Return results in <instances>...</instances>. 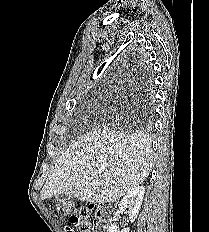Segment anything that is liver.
Wrapping results in <instances>:
<instances>
[{
    "label": "liver",
    "mask_w": 209,
    "mask_h": 232,
    "mask_svg": "<svg viewBox=\"0 0 209 232\" xmlns=\"http://www.w3.org/2000/svg\"><path fill=\"white\" fill-rule=\"evenodd\" d=\"M152 153V141L144 132L92 131L61 154L41 199L64 193L92 203L116 201L148 177Z\"/></svg>",
    "instance_id": "liver-1"
}]
</instances>
